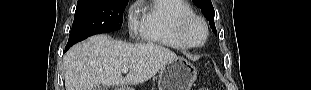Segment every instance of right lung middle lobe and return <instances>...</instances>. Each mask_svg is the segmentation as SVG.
<instances>
[{"mask_svg":"<svg viewBox=\"0 0 311 90\" xmlns=\"http://www.w3.org/2000/svg\"><path fill=\"white\" fill-rule=\"evenodd\" d=\"M128 0H78L67 45L121 28Z\"/></svg>","mask_w":311,"mask_h":90,"instance_id":"dd1d6c3e","label":"right lung middle lobe"}]
</instances>
